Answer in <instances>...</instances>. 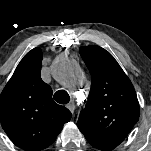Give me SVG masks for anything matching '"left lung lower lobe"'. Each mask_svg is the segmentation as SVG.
<instances>
[{"label": "left lung lower lobe", "instance_id": "left-lung-lower-lobe-1", "mask_svg": "<svg viewBox=\"0 0 151 151\" xmlns=\"http://www.w3.org/2000/svg\"><path fill=\"white\" fill-rule=\"evenodd\" d=\"M87 140L92 146L103 151H110L117 147L122 142L119 139H106V138H90Z\"/></svg>", "mask_w": 151, "mask_h": 151}]
</instances>
